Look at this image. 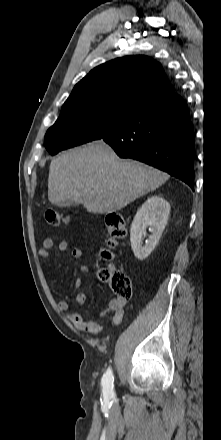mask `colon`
Here are the masks:
<instances>
[{
  "label": "colon",
  "instance_id": "5ec220e1",
  "mask_svg": "<svg viewBox=\"0 0 221 440\" xmlns=\"http://www.w3.org/2000/svg\"><path fill=\"white\" fill-rule=\"evenodd\" d=\"M45 220L48 224L59 227L68 221V217L57 211L48 210L45 213ZM106 227L109 234L108 248L101 251V256L105 260H111L113 254L110 249L115 247L118 240L126 235L125 219L120 213L111 212L106 217ZM99 277L110 284L117 298L127 300L132 297V282L129 275L125 272L111 268H102L99 271Z\"/></svg>",
  "mask_w": 221,
  "mask_h": 440
}]
</instances>
